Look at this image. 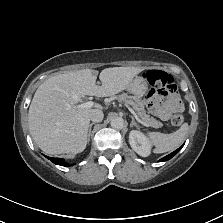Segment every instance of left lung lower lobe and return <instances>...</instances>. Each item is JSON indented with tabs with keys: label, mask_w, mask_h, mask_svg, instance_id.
<instances>
[{
	"label": "left lung lower lobe",
	"mask_w": 223,
	"mask_h": 223,
	"mask_svg": "<svg viewBox=\"0 0 223 223\" xmlns=\"http://www.w3.org/2000/svg\"><path fill=\"white\" fill-rule=\"evenodd\" d=\"M182 147H183V145L180 148H178L176 151H174L171 154H169V155L163 157L162 159H160L159 162H163V161H167V160L171 159L174 155H176L180 151V149Z\"/></svg>",
	"instance_id": "obj_1"
}]
</instances>
